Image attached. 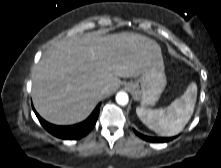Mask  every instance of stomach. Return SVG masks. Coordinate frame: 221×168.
Masks as SVG:
<instances>
[{
	"instance_id": "stomach-1",
	"label": "stomach",
	"mask_w": 221,
	"mask_h": 168,
	"mask_svg": "<svg viewBox=\"0 0 221 168\" xmlns=\"http://www.w3.org/2000/svg\"><path fill=\"white\" fill-rule=\"evenodd\" d=\"M166 83L164 65L153 64L139 79L126 83L125 87L143 107H146L158 101Z\"/></svg>"
}]
</instances>
